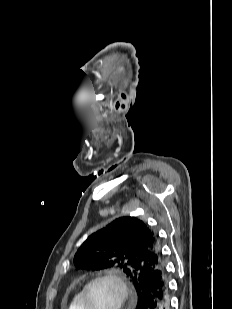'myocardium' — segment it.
Wrapping results in <instances>:
<instances>
[{"mask_svg": "<svg viewBox=\"0 0 232 309\" xmlns=\"http://www.w3.org/2000/svg\"><path fill=\"white\" fill-rule=\"evenodd\" d=\"M102 280L111 281L118 287L119 292H120V297H119V303L115 309H124L130 297V288L128 284L126 283L125 279L123 278V276L113 271L99 273L95 275L94 277H92L86 283L82 291V299H81L83 309H90L88 295H89V290L91 286L94 283L98 281H102Z\"/></svg>", "mask_w": 232, "mask_h": 309, "instance_id": "1", "label": "myocardium"}]
</instances>
